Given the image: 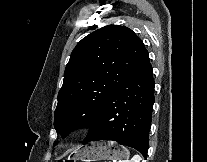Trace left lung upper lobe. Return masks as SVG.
Here are the masks:
<instances>
[{
	"label": "left lung upper lobe",
	"mask_w": 207,
	"mask_h": 162,
	"mask_svg": "<svg viewBox=\"0 0 207 162\" xmlns=\"http://www.w3.org/2000/svg\"><path fill=\"white\" fill-rule=\"evenodd\" d=\"M147 54L141 39L125 26L108 25L84 37L65 69L54 113L56 131L65 137L71 129L90 127Z\"/></svg>",
	"instance_id": "1"
}]
</instances>
